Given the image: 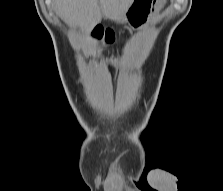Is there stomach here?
I'll return each instance as SVG.
<instances>
[{"label": "stomach", "instance_id": "1", "mask_svg": "<svg viewBox=\"0 0 223 191\" xmlns=\"http://www.w3.org/2000/svg\"><path fill=\"white\" fill-rule=\"evenodd\" d=\"M164 0H133L118 22L139 29L148 24L157 14Z\"/></svg>", "mask_w": 223, "mask_h": 191}]
</instances>
